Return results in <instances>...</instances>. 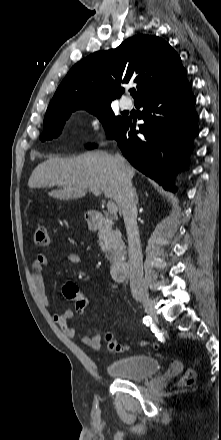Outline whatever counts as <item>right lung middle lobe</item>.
Masks as SVG:
<instances>
[{
  "mask_svg": "<svg viewBox=\"0 0 221 440\" xmlns=\"http://www.w3.org/2000/svg\"><path fill=\"white\" fill-rule=\"evenodd\" d=\"M78 109H85L90 113L96 115L100 122H102L108 138H111L114 135V133L118 130V128L126 119L122 116H115L110 104L97 107H89L86 105L76 104L55 110H50L46 112L44 118V130L40 136L41 141L57 138L60 135L63 126L66 120L70 117L71 113ZM94 147L95 145H88V148Z\"/></svg>",
  "mask_w": 221,
  "mask_h": 440,
  "instance_id": "right-lung-middle-lobe-1",
  "label": "right lung middle lobe"
}]
</instances>
